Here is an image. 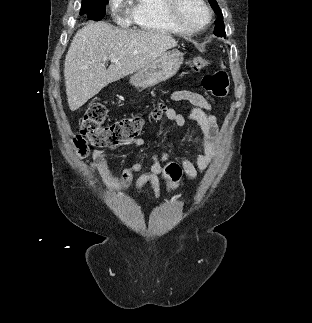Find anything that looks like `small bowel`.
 I'll use <instances>...</instances> for the list:
<instances>
[{"instance_id":"1","label":"small bowel","mask_w":312,"mask_h":323,"mask_svg":"<svg viewBox=\"0 0 312 323\" xmlns=\"http://www.w3.org/2000/svg\"><path fill=\"white\" fill-rule=\"evenodd\" d=\"M170 97L173 102L189 103L193 107L185 114L176 111L172 107H168L164 111L165 118L180 128L189 122H193L198 126L201 134L200 146L197 148L196 163H192L184 156H181L179 160V164H182L184 167L185 175L193 180L207 169L218 150V124L217 118L213 113L216 101L205 91L195 92L186 89L175 90L171 93ZM127 144L137 149L145 145V140L137 137L129 140ZM164 164H171L169 163L168 152L153 154L147 170L136 179L134 184L135 189H140L144 184L150 183L155 197L159 198L160 175L161 171H163ZM89 165L92 170L102 176L106 187L115 190H122L129 187L133 175L145 167L142 163L136 162L126 168L119 178L115 177L110 171L107 152L101 149L93 151Z\"/></svg>"}]
</instances>
